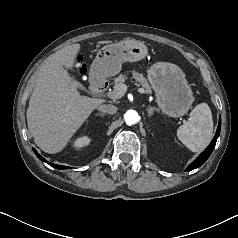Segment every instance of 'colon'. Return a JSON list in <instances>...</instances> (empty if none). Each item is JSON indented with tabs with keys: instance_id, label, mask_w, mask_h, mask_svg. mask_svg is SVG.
Here are the masks:
<instances>
[{
	"instance_id": "5ec220e1",
	"label": "colon",
	"mask_w": 238,
	"mask_h": 238,
	"mask_svg": "<svg viewBox=\"0 0 238 238\" xmlns=\"http://www.w3.org/2000/svg\"><path fill=\"white\" fill-rule=\"evenodd\" d=\"M76 70H77V72L80 73V74H84V72H85V68H84L83 65H78V66L76 67Z\"/></svg>"
}]
</instances>
